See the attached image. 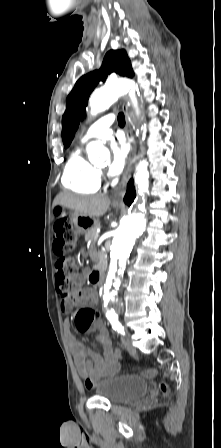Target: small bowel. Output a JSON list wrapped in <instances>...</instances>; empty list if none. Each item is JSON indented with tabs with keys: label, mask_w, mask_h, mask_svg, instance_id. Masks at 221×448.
Segmentation results:
<instances>
[{
	"label": "small bowel",
	"mask_w": 221,
	"mask_h": 448,
	"mask_svg": "<svg viewBox=\"0 0 221 448\" xmlns=\"http://www.w3.org/2000/svg\"><path fill=\"white\" fill-rule=\"evenodd\" d=\"M54 232L55 229L53 225V233ZM53 250L57 255L62 254L61 243L55 238V234ZM84 280V276H81L76 280L75 285L70 291V295L62 298L61 309L64 312H69L73 307L79 308L75 314V325L77 329L81 332H96V341L102 347L103 355L101 356L97 352L77 343L71 332V322L69 319L64 320L63 326L66 341L79 374L82 377H90L92 380H98L105 375L115 373L119 370L120 352L113 347L103 321L96 317L95 312L91 319V323L88 326L85 325L88 320L86 310L92 309V307L96 305L98 298L94 290L84 287Z\"/></svg>",
	"instance_id": "1"
}]
</instances>
